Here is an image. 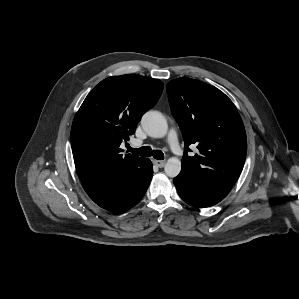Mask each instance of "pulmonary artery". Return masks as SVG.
Wrapping results in <instances>:
<instances>
[{"label":"pulmonary artery","mask_w":299,"mask_h":299,"mask_svg":"<svg viewBox=\"0 0 299 299\" xmlns=\"http://www.w3.org/2000/svg\"><path fill=\"white\" fill-rule=\"evenodd\" d=\"M167 142L169 144L170 149L175 153V154H180L181 149H180V145H179V140H178V136L177 133L174 129H171L168 133L167 136ZM133 146H140L141 145V141L139 140H135L132 142Z\"/></svg>","instance_id":"1"}]
</instances>
